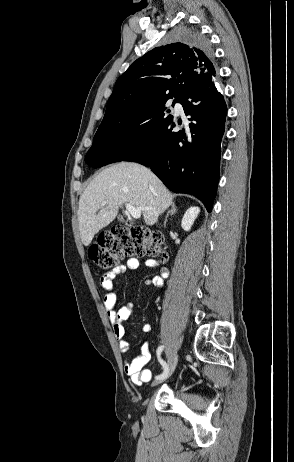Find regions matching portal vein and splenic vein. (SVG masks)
Wrapping results in <instances>:
<instances>
[{
  "label": "portal vein and splenic vein",
  "mask_w": 294,
  "mask_h": 462,
  "mask_svg": "<svg viewBox=\"0 0 294 462\" xmlns=\"http://www.w3.org/2000/svg\"><path fill=\"white\" fill-rule=\"evenodd\" d=\"M126 210L129 212V214L134 218V219H139L141 217V210L140 208H137L133 206L130 203L125 204Z\"/></svg>",
  "instance_id": "1"
}]
</instances>
